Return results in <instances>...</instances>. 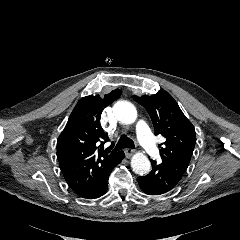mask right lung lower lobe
<instances>
[{
  "mask_svg": "<svg viewBox=\"0 0 240 240\" xmlns=\"http://www.w3.org/2000/svg\"><path fill=\"white\" fill-rule=\"evenodd\" d=\"M123 158L124 153L122 152L117 161L96 181L91 189L79 196L87 199H95L104 195L107 191L108 177L112 168L119 164Z\"/></svg>",
  "mask_w": 240,
  "mask_h": 240,
  "instance_id": "98d812e1",
  "label": "right lung lower lobe"
}]
</instances>
